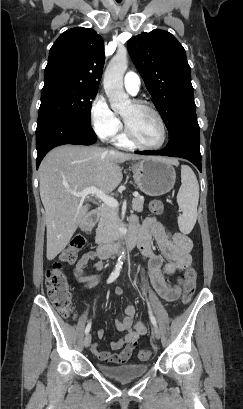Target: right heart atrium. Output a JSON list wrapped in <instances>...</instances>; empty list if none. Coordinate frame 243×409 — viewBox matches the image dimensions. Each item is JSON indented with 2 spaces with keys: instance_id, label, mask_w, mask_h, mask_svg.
I'll list each match as a JSON object with an SVG mask.
<instances>
[{
  "instance_id": "obj_1",
  "label": "right heart atrium",
  "mask_w": 243,
  "mask_h": 409,
  "mask_svg": "<svg viewBox=\"0 0 243 409\" xmlns=\"http://www.w3.org/2000/svg\"><path fill=\"white\" fill-rule=\"evenodd\" d=\"M89 120L94 132L103 139L114 140L122 130L120 119L102 95H97L92 101Z\"/></svg>"
}]
</instances>
